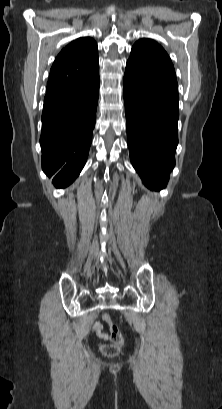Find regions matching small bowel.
Instances as JSON below:
<instances>
[{
	"label": "small bowel",
	"instance_id": "1",
	"mask_svg": "<svg viewBox=\"0 0 222 409\" xmlns=\"http://www.w3.org/2000/svg\"><path fill=\"white\" fill-rule=\"evenodd\" d=\"M93 329L94 332L96 333V335L103 339V340H107L108 339V335L106 333L103 332V326L100 322H95L93 325Z\"/></svg>",
	"mask_w": 222,
	"mask_h": 409
}]
</instances>
